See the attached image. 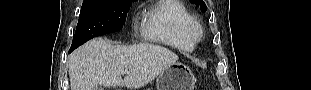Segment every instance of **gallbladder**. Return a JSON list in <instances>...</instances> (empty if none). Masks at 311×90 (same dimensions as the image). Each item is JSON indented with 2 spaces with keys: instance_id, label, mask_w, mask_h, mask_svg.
<instances>
[{
  "instance_id": "gallbladder-1",
  "label": "gallbladder",
  "mask_w": 311,
  "mask_h": 90,
  "mask_svg": "<svg viewBox=\"0 0 311 90\" xmlns=\"http://www.w3.org/2000/svg\"><path fill=\"white\" fill-rule=\"evenodd\" d=\"M96 90H102L101 86H97Z\"/></svg>"
}]
</instances>
